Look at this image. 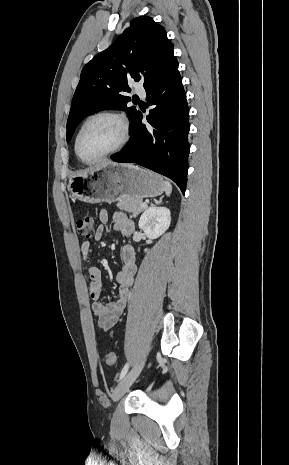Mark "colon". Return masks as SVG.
<instances>
[{"instance_id":"obj_1","label":"colon","mask_w":289,"mask_h":465,"mask_svg":"<svg viewBox=\"0 0 289 465\" xmlns=\"http://www.w3.org/2000/svg\"><path fill=\"white\" fill-rule=\"evenodd\" d=\"M77 233L86 239H91L95 235V221L92 215L86 214L76 221ZM105 363L108 366H114L116 364V355L113 352H109L105 355Z\"/></svg>"}]
</instances>
